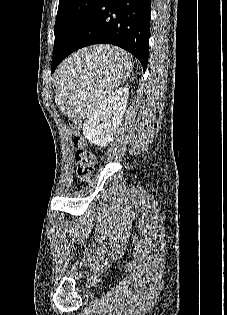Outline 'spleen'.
Returning a JSON list of instances; mask_svg holds the SVG:
<instances>
[{
  "label": "spleen",
  "mask_w": 227,
  "mask_h": 315,
  "mask_svg": "<svg viewBox=\"0 0 227 315\" xmlns=\"http://www.w3.org/2000/svg\"><path fill=\"white\" fill-rule=\"evenodd\" d=\"M132 62L117 47L98 46L72 54L60 68L55 101L68 116L87 118L129 76Z\"/></svg>",
  "instance_id": "obj_1"
}]
</instances>
